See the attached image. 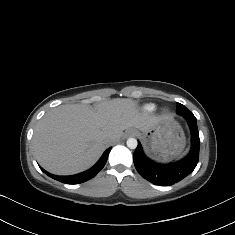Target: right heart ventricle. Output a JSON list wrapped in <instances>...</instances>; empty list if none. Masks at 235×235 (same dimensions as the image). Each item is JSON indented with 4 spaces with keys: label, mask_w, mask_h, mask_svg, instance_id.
<instances>
[{
    "label": "right heart ventricle",
    "mask_w": 235,
    "mask_h": 235,
    "mask_svg": "<svg viewBox=\"0 0 235 235\" xmlns=\"http://www.w3.org/2000/svg\"><path fill=\"white\" fill-rule=\"evenodd\" d=\"M127 102L124 100H116L109 106V111L114 115L118 116L126 110ZM156 110L154 105H146L144 111L152 113Z\"/></svg>",
    "instance_id": "1"
}]
</instances>
